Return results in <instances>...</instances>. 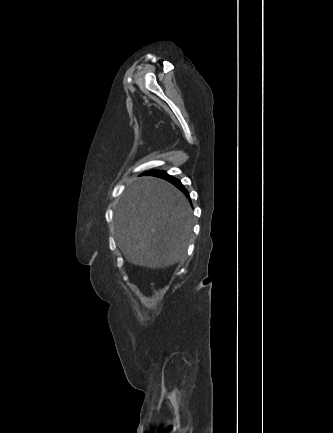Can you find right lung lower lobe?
I'll list each match as a JSON object with an SVG mask.
<instances>
[{
	"label": "right lung lower lobe",
	"mask_w": 333,
	"mask_h": 433,
	"mask_svg": "<svg viewBox=\"0 0 333 433\" xmlns=\"http://www.w3.org/2000/svg\"><path fill=\"white\" fill-rule=\"evenodd\" d=\"M146 175H154L157 177H161L167 181H169L170 183L174 184L177 188H179L182 192H184L185 194H188L187 190L184 188V186L182 185V183L174 178L173 176L168 175L166 172L163 171H151L146 173Z\"/></svg>",
	"instance_id": "98d812e1"
}]
</instances>
